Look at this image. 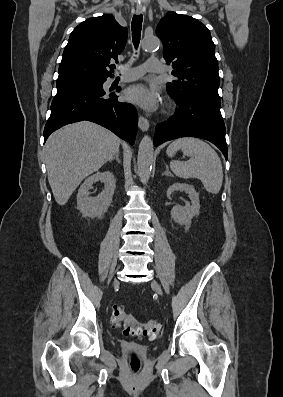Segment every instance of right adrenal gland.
<instances>
[{
	"instance_id": "right-adrenal-gland-1",
	"label": "right adrenal gland",
	"mask_w": 283,
	"mask_h": 397,
	"mask_svg": "<svg viewBox=\"0 0 283 397\" xmlns=\"http://www.w3.org/2000/svg\"><path fill=\"white\" fill-rule=\"evenodd\" d=\"M114 159H116V161H117L118 163H120L119 152H117V153L109 160V162L113 161Z\"/></svg>"
}]
</instances>
